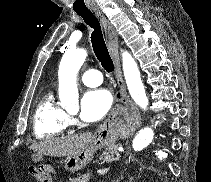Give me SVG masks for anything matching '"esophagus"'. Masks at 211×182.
Masks as SVG:
<instances>
[{"label":"esophagus","instance_id":"1","mask_svg":"<svg viewBox=\"0 0 211 182\" xmlns=\"http://www.w3.org/2000/svg\"><path fill=\"white\" fill-rule=\"evenodd\" d=\"M94 13L98 18H100V21L103 25L105 35L107 38V44H108V49L109 52L112 56V59L114 61V66H115V76L117 79V83L119 86V90L115 94V100L116 102L122 103L128 107L132 106L135 111L137 116H139L138 109L132 104L129 96L127 95L125 83L123 80L122 76V71H121V65H120V59L118 55V35L114 27L110 24V22L101 14L100 10L98 8L93 10ZM115 116V109L112 110L106 121L103 123V125L100 127L99 131H104L107 129L108 126H110L113 118Z\"/></svg>","mask_w":211,"mask_h":182}]
</instances>
